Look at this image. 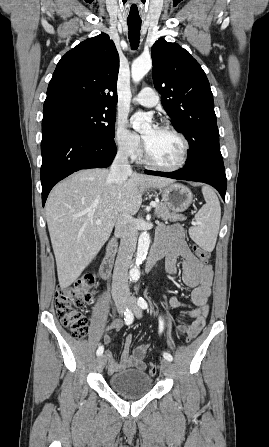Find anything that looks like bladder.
<instances>
[{"instance_id": "1", "label": "bladder", "mask_w": 269, "mask_h": 447, "mask_svg": "<svg viewBox=\"0 0 269 447\" xmlns=\"http://www.w3.org/2000/svg\"><path fill=\"white\" fill-rule=\"evenodd\" d=\"M112 391L128 398H142L153 387L149 372L136 369L122 370L109 378Z\"/></svg>"}]
</instances>
